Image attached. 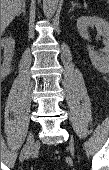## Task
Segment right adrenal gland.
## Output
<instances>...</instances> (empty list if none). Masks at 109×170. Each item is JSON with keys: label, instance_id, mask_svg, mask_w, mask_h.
I'll list each match as a JSON object with an SVG mask.
<instances>
[{"label": "right adrenal gland", "instance_id": "1", "mask_svg": "<svg viewBox=\"0 0 109 170\" xmlns=\"http://www.w3.org/2000/svg\"><path fill=\"white\" fill-rule=\"evenodd\" d=\"M21 13H23L24 16L26 15V12H25V0L23 1L22 6H21V9H20V11L17 13V16H19Z\"/></svg>", "mask_w": 109, "mask_h": 170}]
</instances>
